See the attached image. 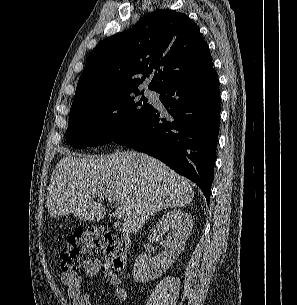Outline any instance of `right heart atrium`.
Listing matches in <instances>:
<instances>
[{
    "mask_svg": "<svg viewBox=\"0 0 297 305\" xmlns=\"http://www.w3.org/2000/svg\"><path fill=\"white\" fill-rule=\"evenodd\" d=\"M101 123L107 131L111 130L115 123V113L113 111L105 112L101 117Z\"/></svg>",
    "mask_w": 297,
    "mask_h": 305,
    "instance_id": "1",
    "label": "right heart atrium"
}]
</instances>
